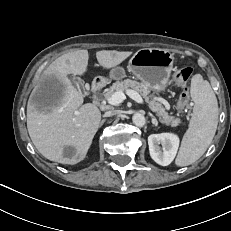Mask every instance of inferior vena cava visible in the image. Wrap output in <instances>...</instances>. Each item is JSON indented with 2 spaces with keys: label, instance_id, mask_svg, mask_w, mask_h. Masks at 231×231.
Wrapping results in <instances>:
<instances>
[{
  "label": "inferior vena cava",
  "instance_id": "1",
  "mask_svg": "<svg viewBox=\"0 0 231 231\" xmlns=\"http://www.w3.org/2000/svg\"><path fill=\"white\" fill-rule=\"evenodd\" d=\"M118 114V110H111L104 113V117H110Z\"/></svg>",
  "mask_w": 231,
  "mask_h": 231
}]
</instances>
